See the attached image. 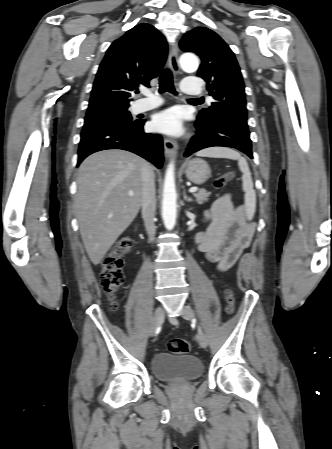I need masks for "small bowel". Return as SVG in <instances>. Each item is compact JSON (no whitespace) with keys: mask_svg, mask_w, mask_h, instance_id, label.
Here are the masks:
<instances>
[{"mask_svg":"<svg viewBox=\"0 0 332 449\" xmlns=\"http://www.w3.org/2000/svg\"><path fill=\"white\" fill-rule=\"evenodd\" d=\"M207 228L198 235V248L219 271L233 266L250 244L255 225L245 219L243 206H234L231 195L218 198L205 213Z\"/></svg>","mask_w":332,"mask_h":449,"instance_id":"obj_1","label":"small bowel"}]
</instances>
